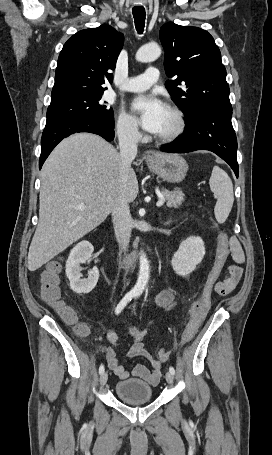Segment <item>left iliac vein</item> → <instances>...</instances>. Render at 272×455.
<instances>
[{"mask_svg": "<svg viewBox=\"0 0 272 455\" xmlns=\"http://www.w3.org/2000/svg\"><path fill=\"white\" fill-rule=\"evenodd\" d=\"M165 378H166V381L168 382V384H172L173 383V375L170 373V372H167L166 375H165Z\"/></svg>", "mask_w": 272, "mask_h": 455, "instance_id": "left-iliac-vein-1", "label": "left iliac vein"}]
</instances>
